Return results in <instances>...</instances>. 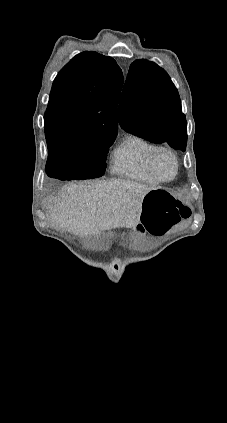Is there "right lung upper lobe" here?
I'll use <instances>...</instances> for the list:
<instances>
[{"label":"right lung upper lobe","mask_w":227,"mask_h":423,"mask_svg":"<svg viewBox=\"0 0 227 423\" xmlns=\"http://www.w3.org/2000/svg\"><path fill=\"white\" fill-rule=\"evenodd\" d=\"M122 85L123 74L113 58L93 51L76 55L53 82L44 115L47 142L116 136Z\"/></svg>","instance_id":"1"}]
</instances>
